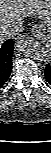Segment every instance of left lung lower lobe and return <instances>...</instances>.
<instances>
[{
  "mask_svg": "<svg viewBox=\"0 0 51 153\" xmlns=\"http://www.w3.org/2000/svg\"><path fill=\"white\" fill-rule=\"evenodd\" d=\"M45 78L51 84V65L47 64L45 69Z\"/></svg>",
  "mask_w": 51,
  "mask_h": 153,
  "instance_id": "left-lung-lower-lobe-1",
  "label": "left lung lower lobe"
}]
</instances>
